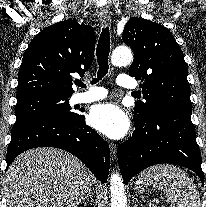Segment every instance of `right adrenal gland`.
<instances>
[{
    "label": "right adrenal gland",
    "mask_w": 206,
    "mask_h": 207,
    "mask_svg": "<svg viewBox=\"0 0 206 207\" xmlns=\"http://www.w3.org/2000/svg\"><path fill=\"white\" fill-rule=\"evenodd\" d=\"M85 199H90L91 203L93 202L91 188L88 189V193L84 196V198L82 200H85Z\"/></svg>",
    "instance_id": "obj_1"
}]
</instances>
